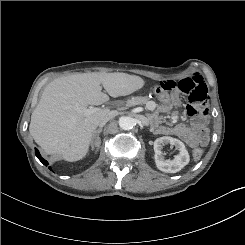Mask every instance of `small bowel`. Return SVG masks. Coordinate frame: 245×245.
<instances>
[{
  "mask_svg": "<svg viewBox=\"0 0 245 245\" xmlns=\"http://www.w3.org/2000/svg\"><path fill=\"white\" fill-rule=\"evenodd\" d=\"M158 85L166 92L172 91L173 102L181 104L180 96H188L190 104L186 107V115L192 117L190 124L180 123L174 126H158V116H152V123L156 127V132L164 135H174L183 140L190 147L206 145L209 142V131L207 124L209 121V111L206 106L208 98L207 88L203 78L199 75L186 77L177 81L172 78H162ZM170 105H162L160 110L166 112Z\"/></svg>",
  "mask_w": 245,
  "mask_h": 245,
  "instance_id": "c3829d8e",
  "label": "small bowel"
}]
</instances>
